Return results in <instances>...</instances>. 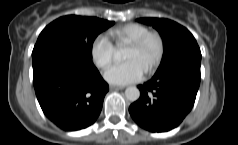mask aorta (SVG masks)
Returning a JSON list of instances; mask_svg holds the SVG:
<instances>
[{
    "instance_id": "obj_1",
    "label": "aorta",
    "mask_w": 238,
    "mask_h": 145,
    "mask_svg": "<svg viewBox=\"0 0 238 145\" xmlns=\"http://www.w3.org/2000/svg\"><path fill=\"white\" fill-rule=\"evenodd\" d=\"M126 51L124 49L118 50L116 52L117 58H125ZM125 97L127 100L134 102L139 99L140 97V91L135 86L127 87L125 90Z\"/></svg>"
}]
</instances>
